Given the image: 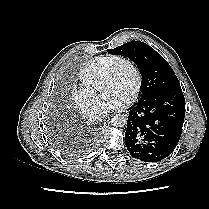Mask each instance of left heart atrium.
<instances>
[{"mask_svg":"<svg viewBox=\"0 0 209 209\" xmlns=\"http://www.w3.org/2000/svg\"><path fill=\"white\" fill-rule=\"evenodd\" d=\"M128 98L119 94H115L105 104L106 110H116L123 108L127 105Z\"/></svg>","mask_w":209,"mask_h":209,"instance_id":"39dd6f15","label":"left heart atrium"}]
</instances>
